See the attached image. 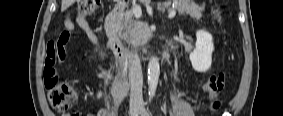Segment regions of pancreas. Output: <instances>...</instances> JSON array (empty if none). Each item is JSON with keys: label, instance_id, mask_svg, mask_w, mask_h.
Listing matches in <instances>:
<instances>
[{"label": "pancreas", "instance_id": "1", "mask_svg": "<svg viewBox=\"0 0 283 116\" xmlns=\"http://www.w3.org/2000/svg\"><path fill=\"white\" fill-rule=\"evenodd\" d=\"M175 9L178 10L180 15L189 14L193 18H201L202 7H199L187 0H175ZM158 6L163 8H169L170 1L165 3H159ZM114 34L120 39L127 41L133 45H139L142 42L140 23L133 17L132 10H128L120 24V26L115 30Z\"/></svg>", "mask_w": 283, "mask_h": 116}]
</instances>
